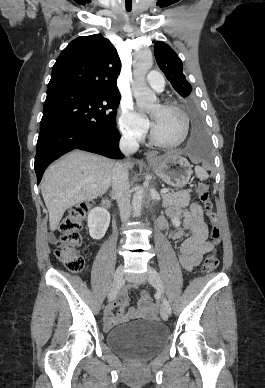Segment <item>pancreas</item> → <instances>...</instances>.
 <instances>
[{
    "mask_svg": "<svg viewBox=\"0 0 265 388\" xmlns=\"http://www.w3.org/2000/svg\"><path fill=\"white\" fill-rule=\"evenodd\" d=\"M189 192H192V190H182V192H175V194H162L163 208H168V206H188L191 200Z\"/></svg>",
    "mask_w": 265,
    "mask_h": 388,
    "instance_id": "1",
    "label": "pancreas"
}]
</instances>
